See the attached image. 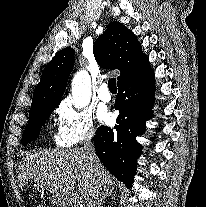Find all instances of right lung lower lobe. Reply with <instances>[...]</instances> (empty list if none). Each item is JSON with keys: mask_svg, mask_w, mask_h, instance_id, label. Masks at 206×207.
I'll use <instances>...</instances> for the list:
<instances>
[{"mask_svg": "<svg viewBox=\"0 0 206 207\" xmlns=\"http://www.w3.org/2000/svg\"><path fill=\"white\" fill-rule=\"evenodd\" d=\"M154 82V72L146 57L134 72L117 83V125L100 126L94 136L97 156L128 187L132 186L142 149L136 137L143 134L145 122L152 117Z\"/></svg>", "mask_w": 206, "mask_h": 207, "instance_id": "1", "label": "right lung lower lobe"}]
</instances>
